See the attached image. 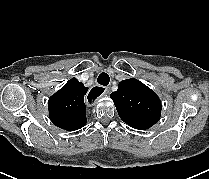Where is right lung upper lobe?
<instances>
[{
	"label": "right lung upper lobe",
	"instance_id": "obj_1",
	"mask_svg": "<svg viewBox=\"0 0 209 179\" xmlns=\"http://www.w3.org/2000/svg\"><path fill=\"white\" fill-rule=\"evenodd\" d=\"M87 90L81 82L72 78L49 98V117L54 125L67 131L78 130L86 125Z\"/></svg>",
	"mask_w": 209,
	"mask_h": 179
}]
</instances>
